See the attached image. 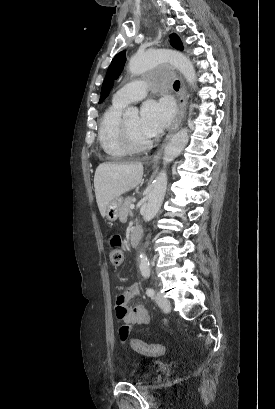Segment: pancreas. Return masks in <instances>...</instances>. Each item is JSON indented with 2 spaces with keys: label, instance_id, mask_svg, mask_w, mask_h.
Returning a JSON list of instances; mask_svg holds the SVG:
<instances>
[{
  "label": "pancreas",
  "instance_id": "pancreas-1",
  "mask_svg": "<svg viewBox=\"0 0 275 409\" xmlns=\"http://www.w3.org/2000/svg\"><path fill=\"white\" fill-rule=\"evenodd\" d=\"M132 202H133V196H127L124 202H122V205L119 209V219L121 223H125V221H127V215L128 213H131L130 205H132Z\"/></svg>",
  "mask_w": 275,
  "mask_h": 409
}]
</instances>
